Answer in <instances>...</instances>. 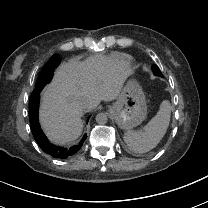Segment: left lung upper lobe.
<instances>
[{
  "label": "left lung upper lobe",
  "mask_w": 208,
  "mask_h": 208,
  "mask_svg": "<svg viewBox=\"0 0 208 208\" xmlns=\"http://www.w3.org/2000/svg\"><path fill=\"white\" fill-rule=\"evenodd\" d=\"M152 70L156 76L162 77V73L160 72L159 68L156 65L152 66Z\"/></svg>",
  "instance_id": "1"
}]
</instances>
